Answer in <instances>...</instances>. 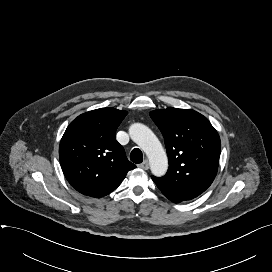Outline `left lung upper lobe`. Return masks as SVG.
Returning <instances> with one entry per match:
<instances>
[{
  "label": "left lung upper lobe",
  "instance_id": "left-lung-upper-lobe-1",
  "mask_svg": "<svg viewBox=\"0 0 272 272\" xmlns=\"http://www.w3.org/2000/svg\"><path fill=\"white\" fill-rule=\"evenodd\" d=\"M150 116L164 137L169 160L166 175L152 176L153 181L172 202L199 196L217 174L221 152L217 131L192 109L167 108Z\"/></svg>",
  "mask_w": 272,
  "mask_h": 272
}]
</instances>
